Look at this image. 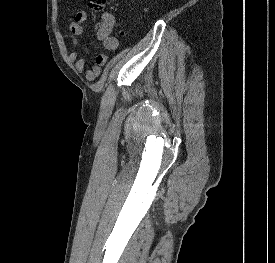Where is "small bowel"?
Returning <instances> with one entry per match:
<instances>
[{
	"instance_id": "1",
	"label": "small bowel",
	"mask_w": 275,
	"mask_h": 263,
	"mask_svg": "<svg viewBox=\"0 0 275 263\" xmlns=\"http://www.w3.org/2000/svg\"><path fill=\"white\" fill-rule=\"evenodd\" d=\"M87 18V13L85 11H79L75 15L73 22L70 24L69 36L73 46L75 47L80 44L83 25L86 23ZM114 23V18L112 16H107L103 22V28L97 33V37L103 42L105 49L112 52L119 48V40L111 35ZM69 60L75 65V69L78 73L85 72L86 79L92 82L100 76L102 67L107 63V55L104 53L97 54L94 64L87 69L85 68L84 58L78 52H71L69 54Z\"/></svg>"
}]
</instances>
